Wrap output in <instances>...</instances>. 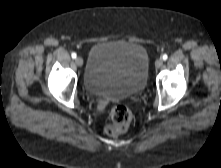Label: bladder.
Segmentation results:
<instances>
[{
    "label": "bladder",
    "mask_w": 221,
    "mask_h": 168,
    "mask_svg": "<svg viewBox=\"0 0 221 168\" xmlns=\"http://www.w3.org/2000/svg\"><path fill=\"white\" fill-rule=\"evenodd\" d=\"M148 72L149 56L142 45L125 41L97 43L89 52L84 85L95 95L125 98L145 88Z\"/></svg>",
    "instance_id": "obj_1"
}]
</instances>
